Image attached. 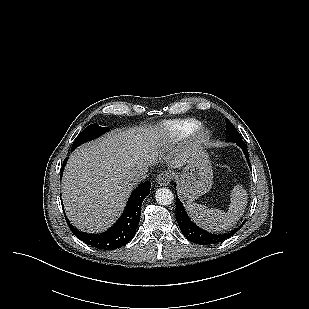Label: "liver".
Here are the masks:
<instances>
[{
    "instance_id": "1",
    "label": "liver",
    "mask_w": 309,
    "mask_h": 309,
    "mask_svg": "<svg viewBox=\"0 0 309 309\" xmlns=\"http://www.w3.org/2000/svg\"><path fill=\"white\" fill-rule=\"evenodd\" d=\"M165 142L157 128L144 127L114 131L77 148L62 181V199L69 220L91 233L110 227L136 186L131 174L157 163L158 148ZM175 152L166 159L172 168H180L188 160L190 149Z\"/></svg>"
}]
</instances>
